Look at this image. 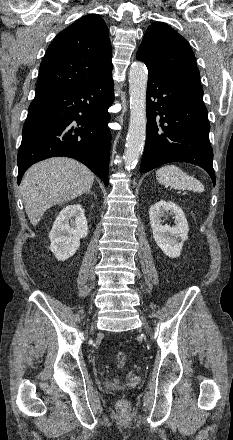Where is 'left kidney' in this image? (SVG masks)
<instances>
[{
	"label": "left kidney",
	"instance_id": "left-kidney-1",
	"mask_svg": "<svg viewBox=\"0 0 233 440\" xmlns=\"http://www.w3.org/2000/svg\"><path fill=\"white\" fill-rule=\"evenodd\" d=\"M166 212L174 215L173 226L161 224V217ZM149 218L153 238L158 247L171 258L179 257L189 232L188 222L182 209L171 201L160 200L150 207Z\"/></svg>",
	"mask_w": 233,
	"mask_h": 440
}]
</instances>
